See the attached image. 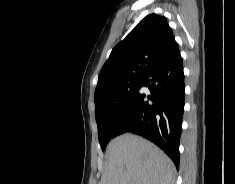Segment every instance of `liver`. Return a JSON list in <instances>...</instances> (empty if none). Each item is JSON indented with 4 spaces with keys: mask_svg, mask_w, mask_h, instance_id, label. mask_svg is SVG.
<instances>
[{
    "mask_svg": "<svg viewBox=\"0 0 235 184\" xmlns=\"http://www.w3.org/2000/svg\"><path fill=\"white\" fill-rule=\"evenodd\" d=\"M107 168L100 184H174L175 166L152 142L123 134L107 146Z\"/></svg>",
    "mask_w": 235,
    "mask_h": 184,
    "instance_id": "obj_1",
    "label": "liver"
}]
</instances>
